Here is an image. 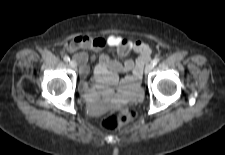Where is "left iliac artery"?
Here are the masks:
<instances>
[{"label":"left iliac artery","instance_id":"1","mask_svg":"<svg viewBox=\"0 0 225 155\" xmlns=\"http://www.w3.org/2000/svg\"><path fill=\"white\" fill-rule=\"evenodd\" d=\"M158 62H159V59H157V58H155V59L152 61V63H153L154 65H156Z\"/></svg>","mask_w":225,"mask_h":155}]
</instances>
